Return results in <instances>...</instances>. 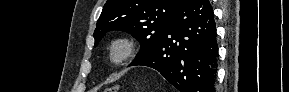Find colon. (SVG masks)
Listing matches in <instances>:
<instances>
[{"label":"colon","mask_w":289,"mask_h":92,"mask_svg":"<svg viewBox=\"0 0 289 92\" xmlns=\"http://www.w3.org/2000/svg\"><path fill=\"white\" fill-rule=\"evenodd\" d=\"M118 90H119L118 87H112V88L105 90V92H117Z\"/></svg>","instance_id":"colon-1"}]
</instances>
